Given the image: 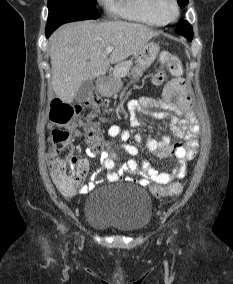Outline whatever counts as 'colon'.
<instances>
[{
  "label": "colon",
  "instance_id": "obj_1",
  "mask_svg": "<svg viewBox=\"0 0 233 284\" xmlns=\"http://www.w3.org/2000/svg\"><path fill=\"white\" fill-rule=\"evenodd\" d=\"M161 64L175 77H180L183 73L180 59L168 51L160 54ZM164 80V73L158 72L154 77V83L159 85ZM100 97L90 98L86 104L95 109L103 105ZM81 107L68 104L60 99L51 102L50 119L59 128L54 129L49 137L50 159L49 163L53 173V181L57 188L66 195H73L80 191L82 183L87 173L84 165L74 162L67 163L72 152V141L69 133L64 129L72 119L78 115ZM103 132L95 124H90L86 133V142L95 150L102 148ZM183 191L180 182H173L167 187L153 186L152 194L157 198L179 196Z\"/></svg>",
  "mask_w": 233,
  "mask_h": 284
}]
</instances>
